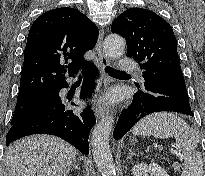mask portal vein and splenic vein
Masks as SVG:
<instances>
[{"mask_svg": "<svg viewBox=\"0 0 205 176\" xmlns=\"http://www.w3.org/2000/svg\"><path fill=\"white\" fill-rule=\"evenodd\" d=\"M169 151H170L172 154H175V155H177V156H179V157H183V156L180 154V152H179L178 150H176V149L171 148V149H169Z\"/></svg>", "mask_w": 205, "mask_h": 176, "instance_id": "18ae733b", "label": "portal vein and splenic vein"}]
</instances>
